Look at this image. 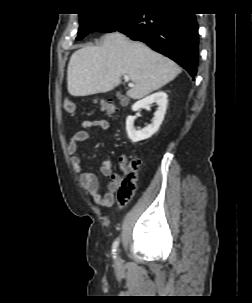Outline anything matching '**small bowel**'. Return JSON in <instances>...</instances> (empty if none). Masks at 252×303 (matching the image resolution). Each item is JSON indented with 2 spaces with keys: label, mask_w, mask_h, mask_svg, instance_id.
Returning a JSON list of instances; mask_svg holds the SVG:
<instances>
[{
  "label": "small bowel",
  "mask_w": 252,
  "mask_h": 303,
  "mask_svg": "<svg viewBox=\"0 0 252 303\" xmlns=\"http://www.w3.org/2000/svg\"><path fill=\"white\" fill-rule=\"evenodd\" d=\"M110 124L105 119H88L84 120L79 128L74 131L67 144V152L73 170L78 173L79 182L82 187L89 193L95 203L102 206H111L115 200V193L120 186L121 176L112 170V162L103 160L100 165V172L110 177V181L105 192L100 191L99 183L96 177L83 170L82 162L77 156L78 146L85 142L88 137V130H108Z\"/></svg>",
  "instance_id": "c3829d8e"
}]
</instances>
